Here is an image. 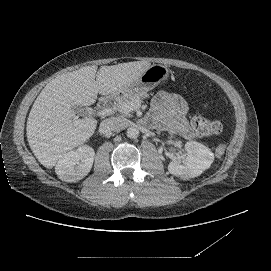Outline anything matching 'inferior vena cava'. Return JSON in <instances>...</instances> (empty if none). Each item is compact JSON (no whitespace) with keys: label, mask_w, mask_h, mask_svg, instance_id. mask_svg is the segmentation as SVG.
<instances>
[{"label":"inferior vena cava","mask_w":271,"mask_h":271,"mask_svg":"<svg viewBox=\"0 0 271 271\" xmlns=\"http://www.w3.org/2000/svg\"><path fill=\"white\" fill-rule=\"evenodd\" d=\"M127 126L126 120L122 118L112 117L106 119L100 123L99 131L103 134L108 132H120L121 130L125 129Z\"/></svg>","instance_id":"1"}]
</instances>
